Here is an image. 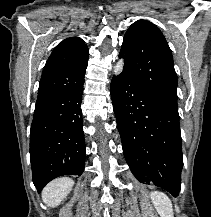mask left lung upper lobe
Returning <instances> with one entry per match:
<instances>
[{"label": "left lung upper lobe", "instance_id": "1", "mask_svg": "<svg viewBox=\"0 0 211 217\" xmlns=\"http://www.w3.org/2000/svg\"><path fill=\"white\" fill-rule=\"evenodd\" d=\"M119 57L125 59V75L139 82L162 104L178 112V79L173 57L156 25L146 20L134 22L124 36Z\"/></svg>", "mask_w": 211, "mask_h": 217}]
</instances>
